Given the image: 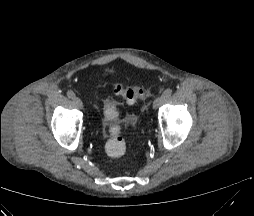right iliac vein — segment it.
Wrapping results in <instances>:
<instances>
[{
    "mask_svg": "<svg viewBox=\"0 0 254 216\" xmlns=\"http://www.w3.org/2000/svg\"><path fill=\"white\" fill-rule=\"evenodd\" d=\"M74 104L79 108L82 109L83 108V102L79 97H75L73 98Z\"/></svg>",
    "mask_w": 254,
    "mask_h": 216,
    "instance_id": "1",
    "label": "right iliac vein"
}]
</instances>
